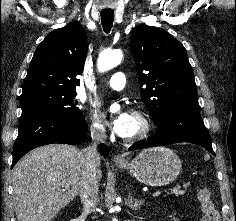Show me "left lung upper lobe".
Returning a JSON list of instances; mask_svg holds the SVG:
<instances>
[{"label":"left lung upper lobe","mask_w":236,"mask_h":221,"mask_svg":"<svg viewBox=\"0 0 236 221\" xmlns=\"http://www.w3.org/2000/svg\"><path fill=\"white\" fill-rule=\"evenodd\" d=\"M141 99L156 124L175 109L199 110L197 89L186 49L168 32L140 25L130 37Z\"/></svg>","instance_id":"obj_1"}]
</instances>
